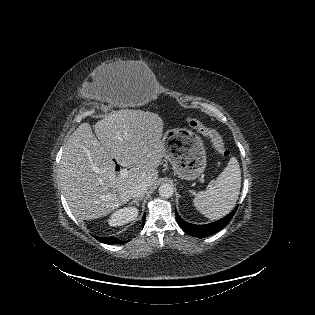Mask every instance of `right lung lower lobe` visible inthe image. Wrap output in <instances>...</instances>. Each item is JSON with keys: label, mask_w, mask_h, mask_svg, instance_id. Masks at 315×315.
Segmentation results:
<instances>
[{"label": "right lung lower lobe", "mask_w": 315, "mask_h": 315, "mask_svg": "<svg viewBox=\"0 0 315 315\" xmlns=\"http://www.w3.org/2000/svg\"><path fill=\"white\" fill-rule=\"evenodd\" d=\"M145 222V215L143 216V223ZM95 238L97 240H99L100 242H103V243H106V244H122L124 243L123 241L121 240H118L117 238L115 237H97L95 236Z\"/></svg>", "instance_id": "right-lung-lower-lobe-1"}]
</instances>
